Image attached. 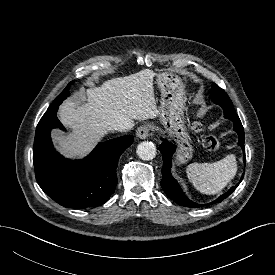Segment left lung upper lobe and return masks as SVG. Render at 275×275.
Returning <instances> with one entry per match:
<instances>
[{"mask_svg":"<svg viewBox=\"0 0 275 275\" xmlns=\"http://www.w3.org/2000/svg\"><path fill=\"white\" fill-rule=\"evenodd\" d=\"M211 98L216 103L221 105L222 103H227L229 106H233L230 98L225 93L223 89H221L218 85L215 83L212 84L211 88ZM237 115V114H236ZM224 116H227V113H224ZM238 116V115H237Z\"/></svg>","mask_w":275,"mask_h":275,"instance_id":"left-lung-upper-lobe-1","label":"left lung upper lobe"}]
</instances>
